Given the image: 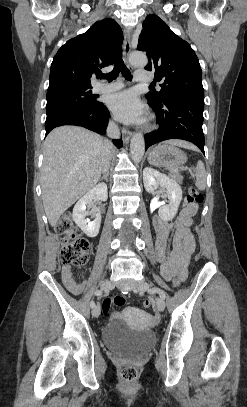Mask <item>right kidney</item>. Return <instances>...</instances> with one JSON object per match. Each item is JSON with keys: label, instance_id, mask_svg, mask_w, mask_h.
Listing matches in <instances>:
<instances>
[{"label": "right kidney", "instance_id": "1", "mask_svg": "<svg viewBox=\"0 0 247 407\" xmlns=\"http://www.w3.org/2000/svg\"><path fill=\"white\" fill-rule=\"evenodd\" d=\"M108 198L107 186L104 183L96 185L89 190L83 197H81L73 208L72 218L73 221L81 228V230L90 238H94L98 235L101 214L96 211H91L94 220L90 221L86 219L89 213L86 209L91 207L94 200H100L105 202Z\"/></svg>", "mask_w": 247, "mask_h": 407}]
</instances>
